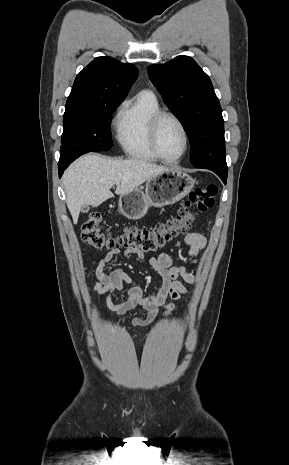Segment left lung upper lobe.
Masks as SVG:
<instances>
[{
    "label": "left lung upper lobe",
    "instance_id": "1",
    "mask_svg": "<svg viewBox=\"0 0 289 465\" xmlns=\"http://www.w3.org/2000/svg\"><path fill=\"white\" fill-rule=\"evenodd\" d=\"M147 72L188 135L191 164L228 171L222 109L209 76L189 56L151 65Z\"/></svg>",
    "mask_w": 289,
    "mask_h": 465
}]
</instances>
